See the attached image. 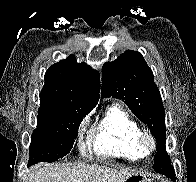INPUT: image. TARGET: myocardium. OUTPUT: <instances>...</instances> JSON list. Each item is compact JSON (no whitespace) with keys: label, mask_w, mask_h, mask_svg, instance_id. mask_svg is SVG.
Wrapping results in <instances>:
<instances>
[{"label":"myocardium","mask_w":196,"mask_h":182,"mask_svg":"<svg viewBox=\"0 0 196 182\" xmlns=\"http://www.w3.org/2000/svg\"><path fill=\"white\" fill-rule=\"evenodd\" d=\"M137 143L144 154H149L156 148V141L154 137L146 131H141L139 133Z\"/></svg>","instance_id":"1"}]
</instances>
